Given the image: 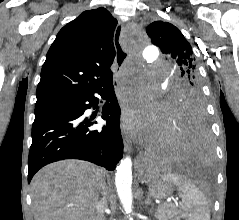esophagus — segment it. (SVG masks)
Here are the masks:
<instances>
[{"label": "esophagus", "mask_w": 239, "mask_h": 220, "mask_svg": "<svg viewBox=\"0 0 239 220\" xmlns=\"http://www.w3.org/2000/svg\"><path fill=\"white\" fill-rule=\"evenodd\" d=\"M123 24H118L116 28V36L113 37L114 41V47L116 50V61H114V67L112 68V87H113V92H120L121 88V76H122V71L124 66V61L128 57V53L121 47V37L123 33ZM117 101L121 102L122 101V94L118 93L117 94ZM120 107L122 106L121 104L119 105ZM121 132L123 136V142H124V147L125 150L130 152L131 151V141L127 135L126 132V118L123 116L121 117Z\"/></svg>", "instance_id": "esophagus-1"}]
</instances>
